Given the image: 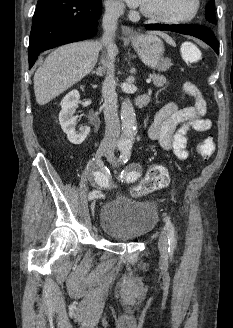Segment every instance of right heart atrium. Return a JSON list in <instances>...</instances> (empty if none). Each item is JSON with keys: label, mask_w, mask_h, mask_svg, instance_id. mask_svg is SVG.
Here are the masks:
<instances>
[{"label": "right heart atrium", "mask_w": 233, "mask_h": 328, "mask_svg": "<svg viewBox=\"0 0 233 328\" xmlns=\"http://www.w3.org/2000/svg\"><path fill=\"white\" fill-rule=\"evenodd\" d=\"M105 9L109 14L115 15L121 10V5L112 0H107L105 1Z\"/></svg>", "instance_id": "d8ad5b80"}]
</instances>
